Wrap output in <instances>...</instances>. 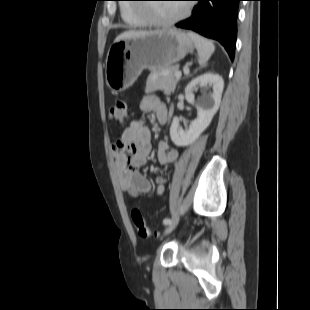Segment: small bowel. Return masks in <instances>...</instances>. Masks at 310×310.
<instances>
[{"label":"small bowel","mask_w":310,"mask_h":310,"mask_svg":"<svg viewBox=\"0 0 310 310\" xmlns=\"http://www.w3.org/2000/svg\"><path fill=\"white\" fill-rule=\"evenodd\" d=\"M143 113H154L158 123L167 121V109L154 95H146L140 101ZM112 153L121 190L132 198L151 195L150 181L141 172L151 151V133L142 117L131 121L122 135L113 141ZM157 160L161 166L177 163L179 152L172 149L167 141H160L157 148ZM166 189V179L157 178L156 195H162Z\"/></svg>","instance_id":"small-bowel-1"}]
</instances>
